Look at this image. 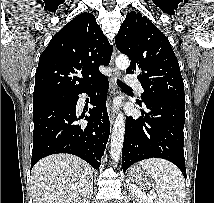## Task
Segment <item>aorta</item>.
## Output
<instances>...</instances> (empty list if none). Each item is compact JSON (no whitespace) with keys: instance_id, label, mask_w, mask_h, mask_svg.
Masks as SVG:
<instances>
[{"instance_id":"obj_1","label":"aorta","mask_w":214,"mask_h":203,"mask_svg":"<svg viewBox=\"0 0 214 203\" xmlns=\"http://www.w3.org/2000/svg\"><path fill=\"white\" fill-rule=\"evenodd\" d=\"M115 64L119 70L125 71L130 65V60L126 55H119L115 60ZM124 132L125 118L122 113H119L116 117L111 136V157L115 163L118 162L122 152Z\"/></svg>"}]
</instances>
